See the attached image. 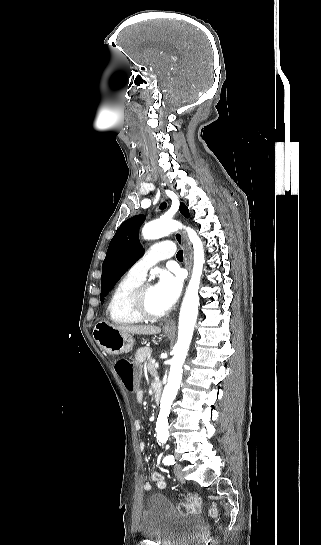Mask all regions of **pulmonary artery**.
Returning a JSON list of instances; mask_svg holds the SVG:
<instances>
[{"label": "pulmonary artery", "mask_w": 321, "mask_h": 545, "mask_svg": "<svg viewBox=\"0 0 321 545\" xmlns=\"http://www.w3.org/2000/svg\"><path fill=\"white\" fill-rule=\"evenodd\" d=\"M170 241H156L154 248L150 250L148 256L144 255L128 270V274L136 279L144 280L150 267L159 261H169L172 259L174 250H172Z\"/></svg>", "instance_id": "obj_1"}]
</instances>
